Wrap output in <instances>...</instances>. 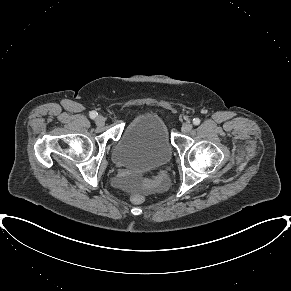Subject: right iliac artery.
<instances>
[{
  "instance_id": "obj_1",
  "label": "right iliac artery",
  "mask_w": 291,
  "mask_h": 291,
  "mask_svg": "<svg viewBox=\"0 0 291 291\" xmlns=\"http://www.w3.org/2000/svg\"><path fill=\"white\" fill-rule=\"evenodd\" d=\"M96 116H97V112H96V111H91V112H90V118H91V119H95Z\"/></svg>"
}]
</instances>
